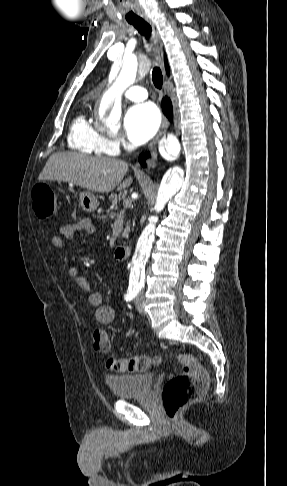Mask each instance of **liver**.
I'll return each instance as SVG.
<instances>
[{"mask_svg": "<svg viewBox=\"0 0 287 486\" xmlns=\"http://www.w3.org/2000/svg\"><path fill=\"white\" fill-rule=\"evenodd\" d=\"M127 171L128 163L122 160L63 152L49 157L38 180L68 182L98 193H108L116 187L121 191L132 184L131 176L123 181Z\"/></svg>", "mask_w": 287, "mask_h": 486, "instance_id": "obj_1", "label": "liver"}]
</instances>
